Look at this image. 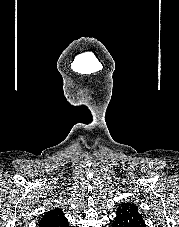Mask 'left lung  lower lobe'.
<instances>
[{"label": "left lung lower lobe", "instance_id": "left-lung-lower-lobe-1", "mask_svg": "<svg viewBox=\"0 0 179 227\" xmlns=\"http://www.w3.org/2000/svg\"><path fill=\"white\" fill-rule=\"evenodd\" d=\"M112 227H115V225H114V224H112Z\"/></svg>", "mask_w": 179, "mask_h": 227}]
</instances>
